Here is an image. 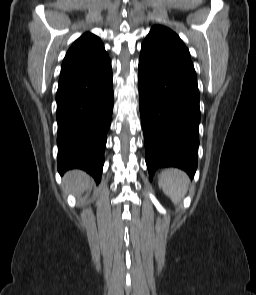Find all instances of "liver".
<instances>
[{"instance_id": "1", "label": "liver", "mask_w": 256, "mask_h": 295, "mask_svg": "<svg viewBox=\"0 0 256 295\" xmlns=\"http://www.w3.org/2000/svg\"><path fill=\"white\" fill-rule=\"evenodd\" d=\"M63 184L65 189L72 190L74 193L79 194L90 186L91 179L80 170H72L64 175Z\"/></svg>"}]
</instances>
